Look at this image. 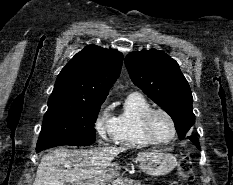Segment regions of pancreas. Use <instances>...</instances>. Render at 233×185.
<instances>
[{
    "label": "pancreas",
    "mask_w": 233,
    "mask_h": 185,
    "mask_svg": "<svg viewBox=\"0 0 233 185\" xmlns=\"http://www.w3.org/2000/svg\"><path fill=\"white\" fill-rule=\"evenodd\" d=\"M109 185H145V184H141L140 181L134 182L131 179L119 177L113 180L112 184H109Z\"/></svg>",
    "instance_id": "obj_1"
}]
</instances>
